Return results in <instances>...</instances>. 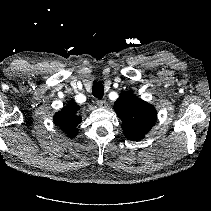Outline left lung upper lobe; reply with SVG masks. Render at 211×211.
<instances>
[{
  "label": "left lung upper lobe",
  "instance_id": "left-lung-upper-lobe-1",
  "mask_svg": "<svg viewBox=\"0 0 211 211\" xmlns=\"http://www.w3.org/2000/svg\"><path fill=\"white\" fill-rule=\"evenodd\" d=\"M114 110L122 120V129L129 140H140L151 130L157 117L155 108L131 92H122Z\"/></svg>",
  "mask_w": 211,
  "mask_h": 211
}]
</instances>
